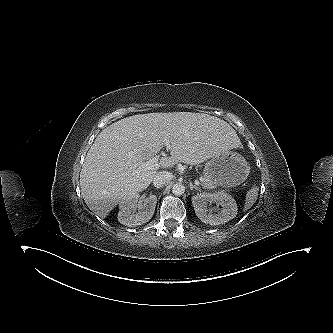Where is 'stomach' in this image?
Returning <instances> with one entry per match:
<instances>
[{"label":"stomach","instance_id":"1","mask_svg":"<svg viewBox=\"0 0 333 333\" xmlns=\"http://www.w3.org/2000/svg\"><path fill=\"white\" fill-rule=\"evenodd\" d=\"M249 174L244 157L237 152L227 151L212 157L204 167V178L214 186L234 187L243 183Z\"/></svg>","mask_w":333,"mask_h":333}]
</instances>
